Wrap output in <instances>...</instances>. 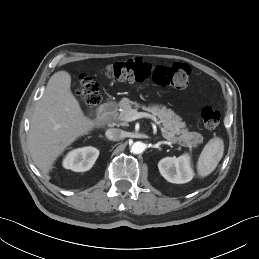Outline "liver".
<instances>
[{
  "instance_id": "obj_1",
  "label": "liver",
  "mask_w": 259,
  "mask_h": 259,
  "mask_svg": "<svg viewBox=\"0 0 259 259\" xmlns=\"http://www.w3.org/2000/svg\"><path fill=\"white\" fill-rule=\"evenodd\" d=\"M70 86L71 76L67 71L54 73L31 117L29 151L34 164L47 177L66 147L96 126L83 113Z\"/></svg>"
}]
</instances>
